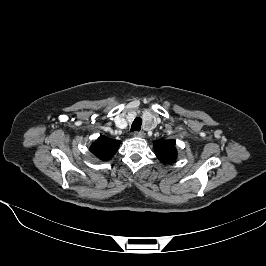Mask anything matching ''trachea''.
I'll return each instance as SVG.
<instances>
[{
	"instance_id": "obj_1",
	"label": "trachea",
	"mask_w": 266,
	"mask_h": 266,
	"mask_svg": "<svg viewBox=\"0 0 266 266\" xmlns=\"http://www.w3.org/2000/svg\"><path fill=\"white\" fill-rule=\"evenodd\" d=\"M142 125V119L140 117H137L131 126V131H140Z\"/></svg>"
}]
</instances>
